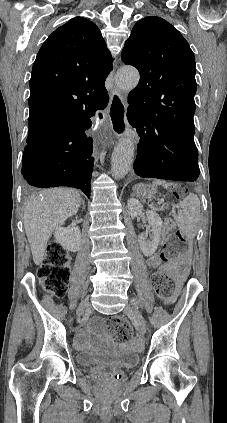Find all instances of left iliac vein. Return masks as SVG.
<instances>
[{
  "label": "left iliac vein",
  "mask_w": 227,
  "mask_h": 423,
  "mask_svg": "<svg viewBox=\"0 0 227 423\" xmlns=\"http://www.w3.org/2000/svg\"><path fill=\"white\" fill-rule=\"evenodd\" d=\"M134 305L137 306V301H134ZM124 313L130 317L136 325H139L141 329L146 327V320L142 314L136 309V307L127 305L124 309Z\"/></svg>",
  "instance_id": "1"
}]
</instances>
